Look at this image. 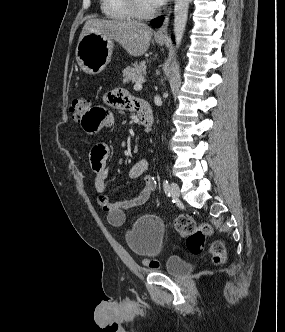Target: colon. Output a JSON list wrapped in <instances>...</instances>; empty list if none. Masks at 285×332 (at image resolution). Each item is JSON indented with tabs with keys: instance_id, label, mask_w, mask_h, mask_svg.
<instances>
[{
	"instance_id": "obj_1",
	"label": "colon",
	"mask_w": 285,
	"mask_h": 332,
	"mask_svg": "<svg viewBox=\"0 0 285 332\" xmlns=\"http://www.w3.org/2000/svg\"><path fill=\"white\" fill-rule=\"evenodd\" d=\"M92 101L87 98H79L72 102L70 111L74 120L78 122V115H83L84 111H90ZM81 123V122H79ZM84 128V126H83ZM175 229L185 237L186 246L193 254H200L205 248L206 237L211 234L212 227L208 223L197 225L194 219L189 215H180L175 220ZM214 262L221 263L226 259V251L221 241H214L209 248ZM147 265L151 268H157V260H147Z\"/></svg>"
}]
</instances>
